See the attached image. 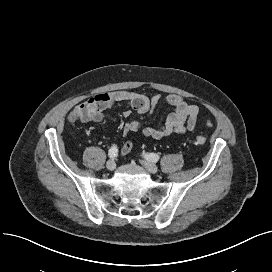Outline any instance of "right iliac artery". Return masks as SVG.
Instances as JSON below:
<instances>
[{"mask_svg": "<svg viewBox=\"0 0 272 272\" xmlns=\"http://www.w3.org/2000/svg\"><path fill=\"white\" fill-rule=\"evenodd\" d=\"M118 154V148L117 146L113 145L108 152V155L110 158H115Z\"/></svg>", "mask_w": 272, "mask_h": 272, "instance_id": "1", "label": "right iliac artery"}]
</instances>
